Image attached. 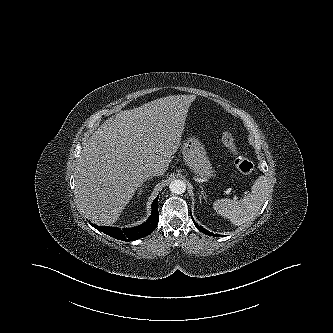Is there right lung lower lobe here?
Returning <instances> with one entry per match:
<instances>
[{
	"label": "right lung lower lobe",
	"mask_w": 333,
	"mask_h": 333,
	"mask_svg": "<svg viewBox=\"0 0 333 333\" xmlns=\"http://www.w3.org/2000/svg\"><path fill=\"white\" fill-rule=\"evenodd\" d=\"M158 197L152 203V213L147 221L133 228L119 229L117 227H102L91 224L97 230L122 241H134L143 238L154 231L158 224L159 214L157 207Z\"/></svg>",
	"instance_id": "right-lung-lower-lobe-1"
}]
</instances>
